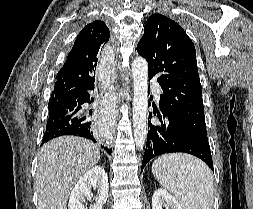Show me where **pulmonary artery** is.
I'll return each instance as SVG.
<instances>
[{
  "mask_svg": "<svg viewBox=\"0 0 253 209\" xmlns=\"http://www.w3.org/2000/svg\"><path fill=\"white\" fill-rule=\"evenodd\" d=\"M150 87L154 91L155 95L157 97H159L160 94H161V87H160V85L156 81L153 80L150 83Z\"/></svg>",
  "mask_w": 253,
  "mask_h": 209,
  "instance_id": "pulmonary-artery-1",
  "label": "pulmonary artery"
}]
</instances>
